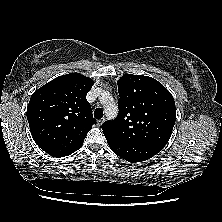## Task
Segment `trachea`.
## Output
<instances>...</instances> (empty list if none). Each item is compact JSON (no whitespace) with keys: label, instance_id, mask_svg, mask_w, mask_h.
<instances>
[{"label":"trachea","instance_id":"3493384b","mask_svg":"<svg viewBox=\"0 0 222 222\" xmlns=\"http://www.w3.org/2000/svg\"><path fill=\"white\" fill-rule=\"evenodd\" d=\"M94 117L96 119H101L103 117V110L101 108H97L94 111Z\"/></svg>","mask_w":222,"mask_h":222}]
</instances>
